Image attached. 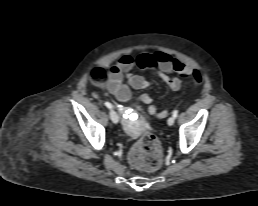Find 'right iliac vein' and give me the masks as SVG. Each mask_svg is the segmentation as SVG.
<instances>
[{
  "label": "right iliac vein",
  "instance_id": "63e3f726",
  "mask_svg": "<svg viewBox=\"0 0 258 206\" xmlns=\"http://www.w3.org/2000/svg\"><path fill=\"white\" fill-rule=\"evenodd\" d=\"M109 115H110L112 122L117 124L119 121V117H118V114L116 113V111L111 109L109 112Z\"/></svg>",
  "mask_w": 258,
  "mask_h": 206
}]
</instances>
